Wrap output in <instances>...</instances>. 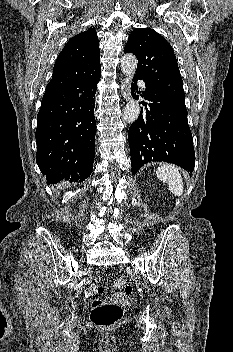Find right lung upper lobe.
I'll return each mask as SVG.
<instances>
[{
  "instance_id": "right-lung-upper-lobe-1",
  "label": "right lung upper lobe",
  "mask_w": 233,
  "mask_h": 352,
  "mask_svg": "<svg viewBox=\"0 0 233 352\" xmlns=\"http://www.w3.org/2000/svg\"><path fill=\"white\" fill-rule=\"evenodd\" d=\"M101 71L97 32L90 28L72 37L60 52L46 90L57 89Z\"/></svg>"
}]
</instances>
